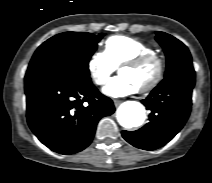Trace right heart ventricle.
<instances>
[{"instance_id":"obj_1","label":"right heart ventricle","mask_w":212,"mask_h":183,"mask_svg":"<svg viewBox=\"0 0 212 183\" xmlns=\"http://www.w3.org/2000/svg\"><path fill=\"white\" fill-rule=\"evenodd\" d=\"M116 68L146 53H155L149 44L127 36H113L106 40L105 51Z\"/></svg>"}]
</instances>
